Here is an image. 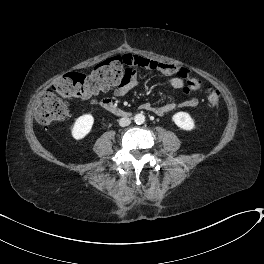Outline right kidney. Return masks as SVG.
Listing matches in <instances>:
<instances>
[{"instance_id": "ca27d5eb", "label": "right kidney", "mask_w": 264, "mask_h": 264, "mask_svg": "<svg viewBox=\"0 0 264 264\" xmlns=\"http://www.w3.org/2000/svg\"><path fill=\"white\" fill-rule=\"evenodd\" d=\"M94 117L91 114H85L78 117L71 130V135L74 139H83L92 129Z\"/></svg>"}]
</instances>
